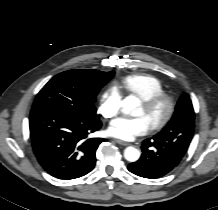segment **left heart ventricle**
<instances>
[{"label": "left heart ventricle", "mask_w": 218, "mask_h": 210, "mask_svg": "<svg viewBox=\"0 0 218 210\" xmlns=\"http://www.w3.org/2000/svg\"><path fill=\"white\" fill-rule=\"evenodd\" d=\"M165 114V106L164 105H159L156 108H154L151 111H147L142 105L140 106L136 116L140 117H144L147 122L149 123V125H151L152 123L158 121L159 119H161L163 117V115Z\"/></svg>", "instance_id": "1"}]
</instances>
